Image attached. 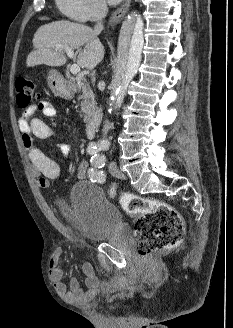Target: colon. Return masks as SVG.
I'll list each match as a JSON object with an SVG mask.
<instances>
[{"label":"colon","mask_w":233,"mask_h":328,"mask_svg":"<svg viewBox=\"0 0 233 328\" xmlns=\"http://www.w3.org/2000/svg\"><path fill=\"white\" fill-rule=\"evenodd\" d=\"M15 91L20 108H27L35 97L34 83L24 75L16 77ZM121 205L128 214L137 218L134 240L141 257L173 247L182 240L185 233L183 218L168 204L125 194L121 197Z\"/></svg>","instance_id":"obj_1"}]
</instances>
